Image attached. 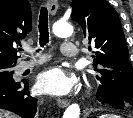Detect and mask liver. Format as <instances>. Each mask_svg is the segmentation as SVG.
I'll return each mask as SVG.
<instances>
[{
  "mask_svg": "<svg viewBox=\"0 0 133 118\" xmlns=\"http://www.w3.org/2000/svg\"><path fill=\"white\" fill-rule=\"evenodd\" d=\"M0 118H18V116L0 109Z\"/></svg>",
  "mask_w": 133,
  "mask_h": 118,
  "instance_id": "obj_1",
  "label": "liver"
}]
</instances>
